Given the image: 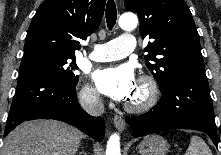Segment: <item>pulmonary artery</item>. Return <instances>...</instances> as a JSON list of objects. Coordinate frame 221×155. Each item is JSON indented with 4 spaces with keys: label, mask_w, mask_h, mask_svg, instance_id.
Wrapping results in <instances>:
<instances>
[{
    "label": "pulmonary artery",
    "mask_w": 221,
    "mask_h": 155,
    "mask_svg": "<svg viewBox=\"0 0 221 155\" xmlns=\"http://www.w3.org/2000/svg\"><path fill=\"white\" fill-rule=\"evenodd\" d=\"M135 45V37L125 33L107 43L95 45L89 57L97 62L118 60L130 54Z\"/></svg>",
    "instance_id": "obj_1"
}]
</instances>
